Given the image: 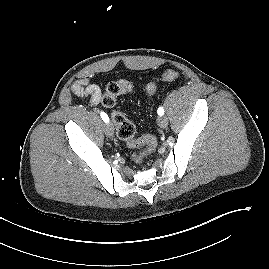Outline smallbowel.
<instances>
[{"label": "small bowel", "mask_w": 269, "mask_h": 269, "mask_svg": "<svg viewBox=\"0 0 269 269\" xmlns=\"http://www.w3.org/2000/svg\"><path fill=\"white\" fill-rule=\"evenodd\" d=\"M71 92L79 97H90V103L93 106L98 105L102 99L101 88L87 78L76 80L71 86Z\"/></svg>", "instance_id": "small-bowel-1"}]
</instances>
